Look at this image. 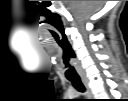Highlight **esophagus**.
Wrapping results in <instances>:
<instances>
[{
  "label": "esophagus",
  "mask_w": 128,
  "mask_h": 101,
  "mask_svg": "<svg viewBox=\"0 0 128 101\" xmlns=\"http://www.w3.org/2000/svg\"><path fill=\"white\" fill-rule=\"evenodd\" d=\"M81 81H82V83H83V85H84V87H85V90H86V97H87L88 99H91V98L93 97V95H92V92H91V90H90V88H89L87 78L82 77V78H81Z\"/></svg>",
  "instance_id": "esophagus-1"
}]
</instances>
